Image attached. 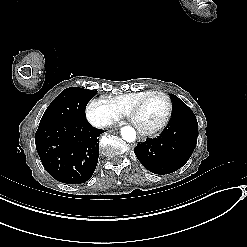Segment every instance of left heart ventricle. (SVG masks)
Here are the masks:
<instances>
[{"mask_svg": "<svg viewBox=\"0 0 247 247\" xmlns=\"http://www.w3.org/2000/svg\"><path fill=\"white\" fill-rule=\"evenodd\" d=\"M167 101L163 96L153 95L143 101L142 124L145 126L156 125L164 117Z\"/></svg>", "mask_w": 247, "mask_h": 247, "instance_id": "left-heart-ventricle-1", "label": "left heart ventricle"}]
</instances>
